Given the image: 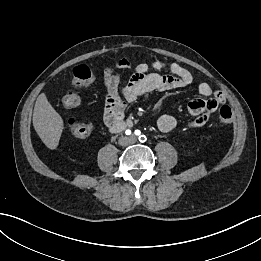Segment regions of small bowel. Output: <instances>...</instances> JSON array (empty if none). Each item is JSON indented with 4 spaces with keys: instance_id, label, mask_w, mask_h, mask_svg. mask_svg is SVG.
<instances>
[{
    "instance_id": "1",
    "label": "small bowel",
    "mask_w": 261,
    "mask_h": 261,
    "mask_svg": "<svg viewBox=\"0 0 261 261\" xmlns=\"http://www.w3.org/2000/svg\"><path fill=\"white\" fill-rule=\"evenodd\" d=\"M128 68L127 64L119 61L113 67L104 71L105 114L104 120L109 128L123 122L127 104H131L139 97L154 91H168L189 87L193 84L192 74L176 62L154 61L141 63L135 68V73L129 81L122 85L120 71ZM168 70L169 74L162 73ZM199 98L191 100L188 111L194 117L187 127L195 129L204 126L216 108L225 103V95L220 90H214L206 82L197 85ZM156 126L162 132L173 130L177 126V119L164 114L156 119Z\"/></svg>"
}]
</instances>
